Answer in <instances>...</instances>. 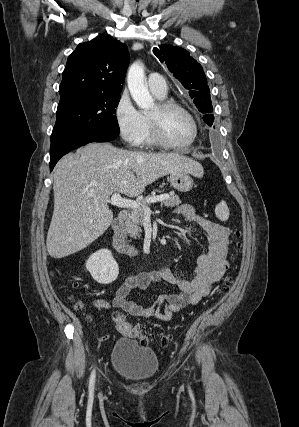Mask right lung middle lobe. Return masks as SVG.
Returning a JSON list of instances; mask_svg holds the SVG:
<instances>
[{"label":"right lung middle lobe","mask_w":299,"mask_h":427,"mask_svg":"<svg viewBox=\"0 0 299 427\" xmlns=\"http://www.w3.org/2000/svg\"><path fill=\"white\" fill-rule=\"evenodd\" d=\"M120 94L79 93L60 99L51 141L74 132L118 134L115 108Z\"/></svg>","instance_id":"obj_1"}]
</instances>
